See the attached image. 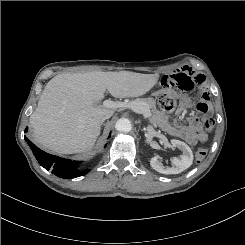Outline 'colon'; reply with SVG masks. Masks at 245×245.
Instances as JSON below:
<instances>
[{"instance_id": "1", "label": "colon", "mask_w": 245, "mask_h": 245, "mask_svg": "<svg viewBox=\"0 0 245 245\" xmlns=\"http://www.w3.org/2000/svg\"><path fill=\"white\" fill-rule=\"evenodd\" d=\"M177 103L178 102L176 97L169 92H164L159 96V105L165 111H172L177 106ZM213 127H214V120L211 118H207L204 121L202 133L206 134V132L211 131ZM206 155H207L206 149L200 147L195 152V159L198 163L202 162L205 159Z\"/></svg>"}]
</instances>
